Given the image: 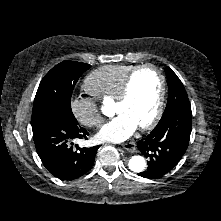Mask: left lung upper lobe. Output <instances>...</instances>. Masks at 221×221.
Instances as JSON below:
<instances>
[{"label": "left lung upper lobe", "instance_id": "1", "mask_svg": "<svg viewBox=\"0 0 221 221\" xmlns=\"http://www.w3.org/2000/svg\"><path fill=\"white\" fill-rule=\"evenodd\" d=\"M165 71L168 83V102L162 117L175 110H191L190 101L182 82L169 67H166Z\"/></svg>", "mask_w": 221, "mask_h": 221}]
</instances>
